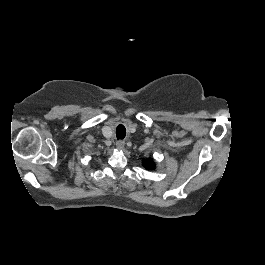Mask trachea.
<instances>
[{
  "instance_id": "trachea-1",
  "label": "trachea",
  "mask_w": 265,
  "mask_h": 265,
  "mask_svg": "<svg viewBox=\"0 0 265 265\" xmlns=\"http://www.w3.org/2000/svg\"><path fill=\"white\" fill-rule=\"evenodd\" d=\"M116 136L118 140H122L126 136V128L123 125L116 128Z\"/></svg>"
}]
</instances>
